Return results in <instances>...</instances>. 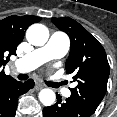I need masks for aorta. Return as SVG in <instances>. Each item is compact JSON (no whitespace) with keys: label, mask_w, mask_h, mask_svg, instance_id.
<instances>
[{"label":"aorta","mask_w":117,"mask_h":117,"mask_svg":"<svg viewBox=\"0 0 117 117\" xmlns=\"http://www.w3.org/2000/svg\"><path fill=\"white\" fill-rule=\"evenodd\" d=\"M28 42L34 46H43L49 38V30L45 25L33 24L26 31ZM39 99L45 106H51L56 100V95L49 88L42 89L39 93Z\"/></svg>","instance_id":"1"}]
</instances>
